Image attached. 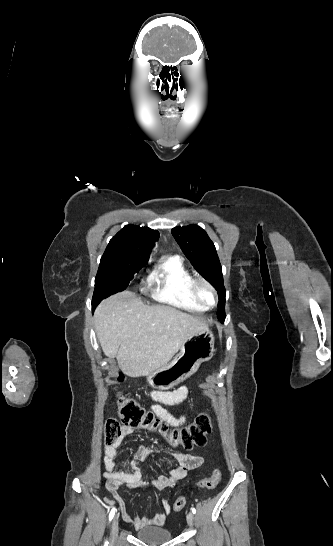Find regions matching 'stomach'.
Listing matches in <instances>:
<instances>
[{
  "label": "stomach",
  "instance_id": "obj_1",
  "mask_svg": "<svg viewBox=\"0 0 333 546\" xmlns=\"http://www.w3.org/2000/svg\"><path fill=\"white\" fill-rule=\"evenodd\" d=\"M214 351L212 332L196 333L181 346L172 362L151 372L147 380L156 389L169 390L195 373L201 363L212 358Z\"/></svg>",
  "mask_w": 333,
  "mask_h": 546
}]
</instances>
